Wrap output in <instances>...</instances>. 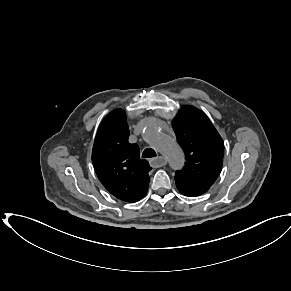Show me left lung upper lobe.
I'll list each match as a JSON object with an SVG mask.
<instances>
[{
  "instance_id": "obj_1",
  "label": "left lung upper lobe",
  "mask_w": 291,
  "mask_h": 291,
  "mask_svg": "<svg viewBox=\"0 0 291 291\" xmlns=\"http://www.w3.org/2000/svg\"><path fill=\"white\" fill-rule=\"evenodd\" d=\"M172 127L186 156L185 166L175 174L177 189L188 197L200 196L221 172L224 142L206 114L193 106H183Z\"/></svg>"
}]
</instances>
